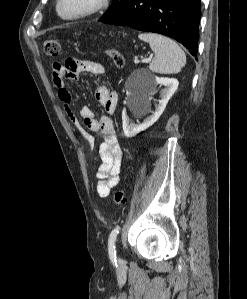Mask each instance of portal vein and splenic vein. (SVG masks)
Segmentation results:
<instances>
[{"mask_svg": "<svg viewBox=\"0 0 247 299\" xmlns=\"http://www.w3.org/2000/svg\"><path fill=\"white\" fill-rule=\"evenodd\" d=\"M149 61H151V58L142 60V62H149ZM134 63H139L138 58H135V59H134Z\"/></svg>", "mask_w": 247, "mask_h": 299, "instance_id": "portal-vein-and-splenic-vein-1", "label": "portal vein and splenic vein"}]
</instances>
